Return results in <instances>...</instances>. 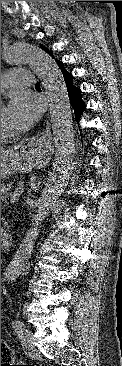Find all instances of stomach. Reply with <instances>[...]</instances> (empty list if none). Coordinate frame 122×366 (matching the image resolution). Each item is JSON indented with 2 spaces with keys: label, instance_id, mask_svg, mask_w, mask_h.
Listing matches in <instances>:
<instances>
[{
  "label": "stomach",
  "instance_id": "obj_1",
  "mask_svg": "<svg viewBox=\"0 0 122 366\" xmlns=\"http://www.w3.org/2000/svg\"><path fill=\"white\" fill-rule=\"evenodd\" d=\"M29 146L33 149L35 144L30 143ZM40 147H45V145H41ZM26 153L25 149H22L19 153L13 155L9 153L8 157L5 159L3 164L1 165V180L4 179L7 175L17 170L21 164L22 157Z\"/></svg>",
  "mask_w": 122,
  "mask_h": 366
}]
</instances>
